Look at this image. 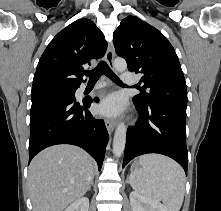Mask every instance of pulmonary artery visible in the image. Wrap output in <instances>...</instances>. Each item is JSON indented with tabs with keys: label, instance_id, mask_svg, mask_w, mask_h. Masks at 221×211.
Masks as SVG:
<instances>
[{
	"label": "pulmonary artery",
	"instance_id": "1",
	"mask_svg": "<svg viewBox=\"0 0 221 211\" xmlns=\"http://www.w3.org/2000/svg\"><path fill=\"white\" fill-rule=\"evenodd\" d=\"M122 81L125 83V84H134L136 82V77L133 73L131 72H124L122 74ZM105 84L104 83H98L96 86H95V89H98V88H101L103 87ZM84 89V87H83Z\"/></svg>",
	"mask_w": 221,
	"mask_h": 211
}]
</instances>
